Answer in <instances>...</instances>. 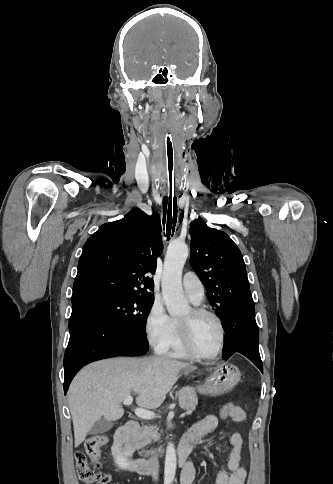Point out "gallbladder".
<instances>
[{"instance_id": "obj_1", "label": "gallbladder", "mask_w": 333, "mask_h": 484, "mask_svg": "<svg viewBox=\"0 0 333 484\" xmlns=\"http://www.w3.org/2000/svg\"><path fill=\"white\" fill-rule=\"evenodd\" d=\"M115 425L114 421L101 418L96 421L92 428L90 429V434H103L108 432Z\"/></svg>"}]
</instances>
